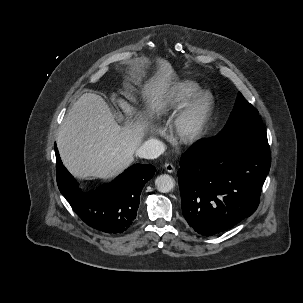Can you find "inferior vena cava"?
Masks as SVG:
<instances>
[{"instance_id": "602c4592", "label": "inferior vena cava", "mask_w": 303, "mask_h": 303, "mask_svg": "<svg viewBox=\"0 0 303 303\" xmlns=\"http://www.w3.org/2000/svg\"><path fill=\"white\" fill-rule=\"evenodd\" d=\"M164 152V144L157 139H149L136 150L140 158L155 159Z\"/></svg>"}]
</instances>
